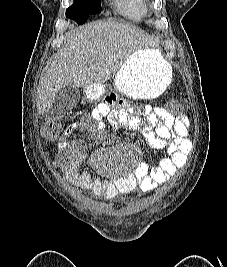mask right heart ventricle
<instances>
[{
    "instance_id": "obj_1",
    "label": "right heart ventricle",
    "mask_w": 227,
    "mask_h": 267,
    "mask_svg": "<svg viewBox=\"0 0 227 267\" xmlns=\"http://www.w3.org/2000/svg\"><path fill=\"white\" fill-rule=\"evenodd\" d=\"M116 11L122 16L138 20L147 14L145 0H113Z\"/></svg>"
}]
</instances>
